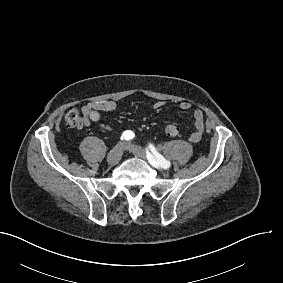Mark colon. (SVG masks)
<instances>
[{
	"mask_svg": "<svg viewBox=\"0 0 283 283\" xmlns=\"http://www.w3.org/2000/svg\"><path fill=\"white\" fill-rule=\"evenodd\" d=\"M80 125V119L76 110H70L65 115V127L67 129L78 128ZM179 128L176 125H169L165 128V135L169 138H174L178 135Z\"/></svg>",
	"mask_w": 283,
	"mask_h": 283,
	"instance_id": "5ec220e1",
	"label": "colon"
}]
</instances>
